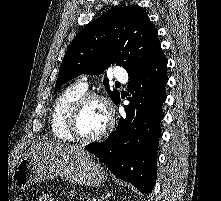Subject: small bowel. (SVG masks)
<instances>
[{
  "mask_svg": "<svg viewBox=\"0 0 221 201\" xmlns=\"http://www.w3.org/2000/svg\"><path fill=\"white\" fill-rule=\"evenodd\" d=\"M40 201H55L52 197L50 196H43Z\"/></svg>",
  "mask_w": 221,
  "mask_h": 201,
  "instance_id": "c3829d8e",
  "label": "small bowel"
}]
</instances>
